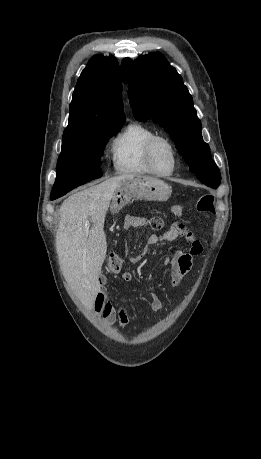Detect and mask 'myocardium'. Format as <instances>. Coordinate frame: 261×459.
<instances>
[{
	"mask_svg": "<svg viewBox=\"0 0 261 459\" xmlns=\"http://www.w3.org/2000/svg\"><path fill=\"white\" fill-rule=\"evenodd\" d=\"M160 142L166 143L171 149V152L173 155V159H174L173 168L168 173H161L157 171L154 166V161H153L154 149L156 145ZM145 159H146V163L148 167L150 168L152 174L158 177H168V176L173 175L175 171L177 170V167L179 164V154H178L176 145L170 138H168L167 136H163V135H155L148 141L146 148H145Z\"/></svg>",
	"mask_w": 261,
	"mask_h": 459,
	"instance_id": "f54148a6",
	"label": "myocardium"
}]
</instances>
